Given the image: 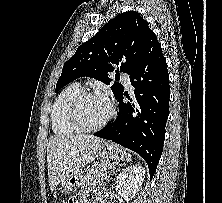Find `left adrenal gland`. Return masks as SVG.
Instances as JSON below:
<instances>
[{"instance_id": "a2214340", "label": "left adrenal gland", "mask_w": 222, "mask_h": 203, "mask_svg": "<svg viewBox=\"0 0 222 203\" xmlns=\"http://www.w3.org/2000/svg\"><path fill=\"white\" fill-rule=\"evenodd\" d=\"M120 166H121V164H118L117 166H114V167H113V169H112V170L109 172V174H108L107 182L110 181L111 175H112V173H114V170H115L117 167H120Z\"/></svg>"}]
</instances>
